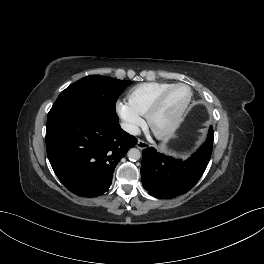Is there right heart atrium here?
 I'll use <instances>...</instances> for the list:
<instances>
[{
  "label": "right heart atrium",
  "instance_id": "1",
  "mask_svg": "<svg viewBox=\"0 0 264 264\" xmlns=\"http://www.w3.org/2000/svg\"><path fill=\"white\" fill-rule=\"evenodd\" d=\"M116 111L124 123L125 130L131 134H135L142 124L140 115L123 102L116 104Z\"/></svg>",
  "mask_w": 264,
  "mask_h": 264
}]
</instances>
